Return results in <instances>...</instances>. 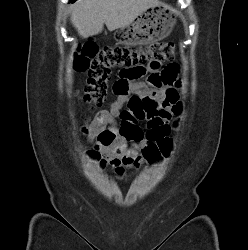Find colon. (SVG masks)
<instances>
[{"label": "colon", "mask_w": 248, "mask_h": 250, "mask_svg": "<svg viewBox=\"0 0 248 250\" xmlns=\"http://www.w3.org/2000/svg\"><path fill=\"white\" fill-rule=\"evenodd\" d=\"M174 55L175 46L172 42H156L145 47L106 46L103 48H99L93 42H86L79 46L74 57V69L88 73L82 98L91 106H99L107 98L112 69L127 68L124 74L130 79H136L141 76L142 68L148 65L156 70L149 77L150 84L157 89H165V99L178 111L177 93L170 88L175 77L168 70L157 71L162 62L172 59ZM159 105V102L152 97L138 95H132L129 102L130 110L139 120L151 115ZM168 135L169 133L153 137L157 158L169 151L171 141Z\"/></svg>", "instance_id": "5ec220e1"}]
</instances>
